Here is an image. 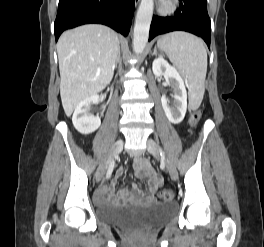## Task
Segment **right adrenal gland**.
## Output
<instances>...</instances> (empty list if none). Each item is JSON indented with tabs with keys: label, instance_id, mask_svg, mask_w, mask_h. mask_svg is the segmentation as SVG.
<instances>
[{
	"label": "right adrenal gland",
	"instance_id": "right-adrenal-gland-1",
	"mask_svg": "<svg viewBox=\"0 0 264 247\" xmlns=\"http://www.w3.org/2000/svg\"><path fill=\"white\" fill-rule=\"evenodd\" d=\"M120 61V50L118 52V56H117V59H116V63H115V67L114 68H117V64L119 63Z\"/></svg>",
	"mask_w": 264,
	"mask_h": 247
}]
</instances>
